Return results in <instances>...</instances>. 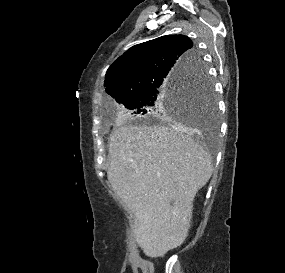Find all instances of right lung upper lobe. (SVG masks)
<instances>
[{"label":"right lung upper lobe","instance_id":"right-lung-upper-lobe-1","mask_svg":"<svg viewBox=\"0 0 285 273\" xmlns=\"http://www.w3.org/2000/svg\"><path fill=\"white\" fill-rule=\"evenodd\" d=\"M185 35H166L131 47L107 70L106 92L119 103L202 67Z\"/></svg>","mask_w":285,"mask_h":273}]
</instances>
